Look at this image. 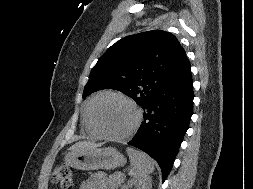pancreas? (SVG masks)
<instances>
[{
  "instance_id": "1",
  "label": "pancreas",
  "mask_w": 253,
  "mask_h": 189,
  "mask_svg": "<svg viewBox=\"0 0 253 189\" xmlns=\"http://www.w3.org/2000/svg\"><path fill=\"white\" fill-rule=\"evenodd\" d=\"M124 180V175L120 172H116L109 176V181L114 187H118L122 184Z\"/></svg>"
}]
</instances>
